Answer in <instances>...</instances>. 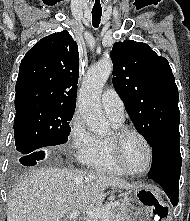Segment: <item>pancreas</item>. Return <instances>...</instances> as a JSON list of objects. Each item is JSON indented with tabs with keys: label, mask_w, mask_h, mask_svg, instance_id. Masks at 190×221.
<instances>
[{
	"label": "pancreas",
	"mask_w": 190,
	"mask_h": 221,
	"mask_svg": "<svg viewBox=\"0 0 190 221\" xmlns=\"http://www.w3.org/2000/svg\"><path fill=\"white\" fill-rule=\"evenodd\" d=\"M119 205L111 208L109 211L110 218L112 221H130V216L128 214V202L119 201ZM107 204L102 205L101 207H106ZM89 221H103L101 218H90ZM111 221V220H110Z\"/></svg>",
	"instance_id": "pancreas-1"
}]
</instances>
